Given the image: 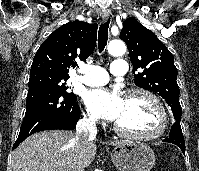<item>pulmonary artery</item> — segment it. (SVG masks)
<instances>
[{"mask_svg": "<svg viewBox=\"0 0 199 171\" xmlns=\"http://www.w3.org/2000/svg\"><path fill=\"white\" fill-rule=\"evenodd\" d=\"M126 70V61L122 59L114 60L110 66V73L114 76H122ZM80 72L81 74L77 75L75 79L88 86L103 85L109 80V74L100 66L83 65Z\"/></svg>", "mask_w": 199, "mask_h": 171, "instance_id": "obj_1", "label": "pulmonary artery"}]
</instances>
